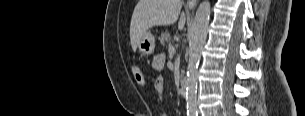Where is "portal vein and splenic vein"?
<instances>
[{
	"label": "portal vein and splenic vein",
	"instance_id": "18ae733b",
	"mask_svg": "<svg viewBox=\"0 0 305 116\" xmlns=\"http://www.w3.org/2000/svg\"><path fill=\"white\" fill-rule=\"evenodd\" d=\"M168 52L175 53V47L172 44H169Z\"/></svg>",
	"mask_w": 305,
	"mask_h": 116
}]
</instances>
